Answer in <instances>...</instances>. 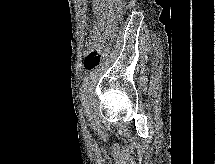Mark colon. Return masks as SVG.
I'll use <instances>...</instances> for the list:
<instances>
[{
    "label": "colon",
    "mask_w": 216,
    "mask_h": 164,
    "mask_svg": "<svg viewBox=\"0 0 216 164\" xmlns=\"http://www.w3.org/2000/svg\"><path fill=\"white\" fill-rule=\"evenodd\" d=\"M107 50L103 45H100L97 48L88 50L84 58V67L88 71L96 69L102 62L103 57L105 56Z\"/></svg>",
    "instance_id": "1"
}]
</instances>
